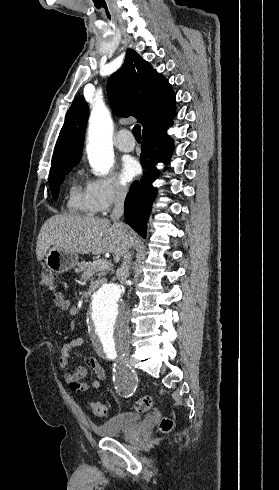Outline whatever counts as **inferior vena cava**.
<instances>
[{
  "label": "inferior vena cava",
  "mask_w": 279,
  "mask_h": 490,
  "mask_svg": "<svg viewBox=\"0 0 279 490\" xmlns=\"http://www.w3.org/2000/svg\"><path fill=\"white\" fill-rule=\"evenodd\" d=\"M126 198V190L121 188V186H117L114 194L115 206L110 214V220L113 222V226H119V228H123L124 224L119 222L121 216L124 214V202ZM120 236H126V232H120ZM126 240V238H124ZM132 242V240H130ZM129 248H131V244H128V248L126 252H124L123 262L121 264V268L117 270V280H119L122 286H126V280L130 276V266L132 260V252H130Z\"/></svg>",
  "instance_id": "1"
}]
</instances>
